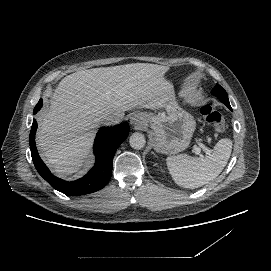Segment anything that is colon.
<instances>
[{"label": "colon", "instance_id": "5ec220e1", "mask_svg": "<svg viewBox=\"0 0 271 271\" xmlns=\"http://www.w3.org/2000/svg\"><path fill=\"white\" fill-rule=\"evenodd\" d=\"M200 114L204 121L211 124L217 132L223 133L226 130L227 125L223 115L211 105H203L200 108Z\"/></svg>", "mask_w": 271, "mask_h": 271}]
</instances>
